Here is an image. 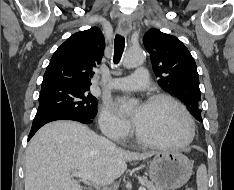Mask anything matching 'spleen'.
I'll use <instances>...</instances> for the list:
<instances>
[{
	"label": "spleen",
	"instance_id": "3e777b00",
	"mask_svg": "<svg viewBox=\"0 0 234 190\" xmlns=\"http://www.w3.org/2000/svg\"><path fill=\"white\" fill-rule=\"evenodd\" d=\"M196 182H197V189L198 190H208V177H207V170L205 165H200L197 174H196Z\"/></svg>",
	"mask_w": 234,
	"mask_h": 190
}]
</instances>
